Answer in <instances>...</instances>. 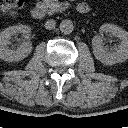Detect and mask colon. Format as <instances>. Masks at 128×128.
<instances>
[{
    "instance_id": "5ec220e1",
    "label": "colon",
    "mask_w": 128,
    "mask_h": 128,
    "mask_svg": "<svg viewBox=\"0 0 128 128\" xmlns=\"http://www.w3.org/2000/svg\"><path fill=\"white\" fill-rule=\"evenodd\" d=\"M24 0H1L0 2V11L13 18L16 16L17 11L22 7Z\"/></svg>"
}]
</instances>
